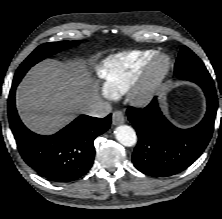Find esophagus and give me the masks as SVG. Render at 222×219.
Returning <instances> with one entry per match:
<instances>
[{"label":"esophagus","instance_id":"obj_1","mask_svg":"<svg viewBox=\"0 0 222 219\" xmlns=\"http://www.w3.org/2000/svg\"><path fill=\"white\" fill-rule=\"evenodd\" d=\"M125 122L124 114L121 111H114L112 115V123L114 125H120Z\"/></svg>","mask_w":222,"mask_h":219}]
</instances>
